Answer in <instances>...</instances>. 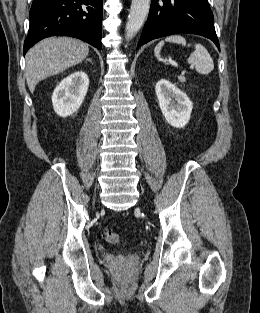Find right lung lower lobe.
Listing matches in <instances>:
<instances>
[{"instance_id":"obj_1","label":"right lung lower lobe","mask_w":260,"mask_h":313,"mask_svg":"<svg viewBox=\"0 0 260 313\" xmlns=\"http://www.w3.org/2000/svg\"><path fill=\"white\" fill-rule=\"evenodd\" d=\"M24 54L41 39L67 35L101 49L102 0H33Z\"/></svg>"}]
</instances>
